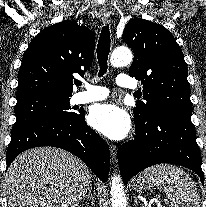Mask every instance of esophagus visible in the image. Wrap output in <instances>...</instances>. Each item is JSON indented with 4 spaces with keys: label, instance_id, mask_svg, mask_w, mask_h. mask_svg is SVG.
Here are the masks:
<instances>
[{
    "label": "esophagus",
    "instance_id": "34e87169",
    "mask_svg": "<svg viewBox=\"0 0 206 207\" xmlns=\"http://www.w3.org/2000/svg\"><path fill=\"white\" fill-rule=\"evenodd\" d=\"M99 19L103 24H107L110 21V13L107 10L99 11ZM117 146L114 144L110 145L111 159L115 163L117 161Z\"/></svg>",
    "mask_w": 206,
    "mask_h": 207
}]
</instances>
